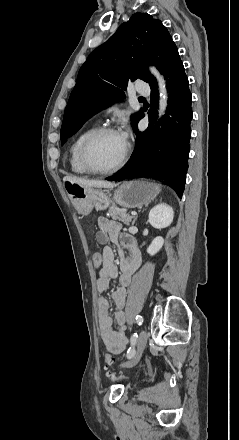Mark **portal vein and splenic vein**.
Wrapping results in <instances>:
<instances>
[{
	"label": "portal vein and splenic vein",
	"mask_w": 239,
	"mask_h": 440,
	"mask_svg": "<svg viewBox=\"0 0 239 440\" xmlns=\"http://www.w3.org/2000/svg\"><path fill=\"white\" fill-rule=\"evenodd\" d=\"M131 214H132V216H135V214H136L135 210H132Z\"/></svg>",
	"instance_id": "obj_1"
}]
</instances>
